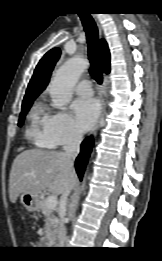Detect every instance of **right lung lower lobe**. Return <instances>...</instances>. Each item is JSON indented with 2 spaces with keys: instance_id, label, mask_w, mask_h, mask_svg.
<instances>
[{
  "instance_id": "98d812e1",
  "label": "right lung lower lobe",
  "mask_w": 162,
  "mask_h": 261,
  "mask_svg": "<svg viewBox=\"0 0 162 261\" xmlns=\"http://www.w3.org/2000/svg\"><path fill=\"white\" fill-rule=\"evenodd\" d=\"M93 146L92 137L86 138L81 144V151L75 161V168L78 176L82 179L86 164L88 162L89 155Z\"/></svg>"
}]
</instances>
